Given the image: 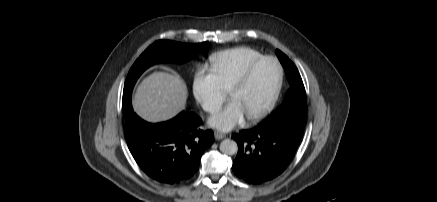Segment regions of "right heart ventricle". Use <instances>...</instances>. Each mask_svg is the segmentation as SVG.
Returning a JSON list of instances; mask_svg holds the SVG:
<instances>
[{"label":"right heart ventricle","instance_id":"obj_1","mask_svg":"<svg viewBox=\"0 0 437 202\" xmlns=\"http://www.w3.org/2000/svg\"><path fill=\"white\" fill-rule=\"evenodd\" d=\"M262 56V53L251 47H233L210 56L211 70L223 88L229 91L245 68Z\"/></svg>","mask_w":437,"mask_h":202}]
</instances>
